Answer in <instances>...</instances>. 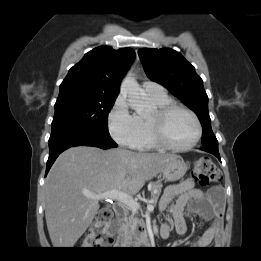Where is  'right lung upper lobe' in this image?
<instances>
[{
    "mask_svg": "<svg viewBox=\"0 0 261 261\" xmlns=\"http://www.w3.org/2000/svg\"><path fill=\"white\" fill-rule=\"evenodd\" d=\"M131 48L100 46L86 53L60 85L59 95L118 96L123 75L134 61Z\"/></svg>",
    "mask_w": 261,
    "mask_h": 261,
    "instance_id": "cb5924a9",
    "label": "right lung upper lobe"
}]
</instances>
